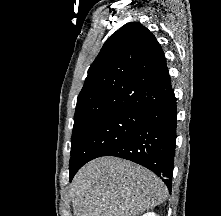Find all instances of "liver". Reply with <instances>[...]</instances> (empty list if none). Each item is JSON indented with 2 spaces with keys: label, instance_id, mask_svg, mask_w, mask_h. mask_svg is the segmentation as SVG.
<instances>
[{
  "label": "liver",
  "instance_id": "6515ba94",
  "mask_svg": "<svg viewBox=\"0 0 221 216\" xmlns=\"http://www.w3.org/2000/svg\"><path fill=\"white\" fill-rule=\"evenodd\" d=\"M167 195V187L153 172L115 157L87 163L71 187L74 216H138Z\"/></svg>",
  "mask_w": 221,
  "mask_h": 216
}]
</instances>
